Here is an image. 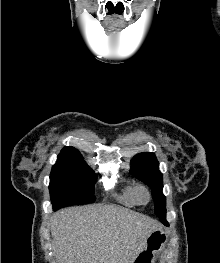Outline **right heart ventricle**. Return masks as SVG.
Wrapping results in <instances>:
<instances>
[{"label": "right heart ventricle", "mask_w": 220, "mask_h": 263, "mask_svg": "<svg viewBox=\"0 0 220 263\" xmlns=\"http://www.w3.org/2000/svg\"><path fill=\"white\" fill-rule=\"evenodd\" d=\"M137 191V186L128 185L123 189V191L119 195H117V198L121 203L128 206L138 204L139 202L137 199Z\"/></svg>", "instance_id": "obj_1"}]
</instances>
